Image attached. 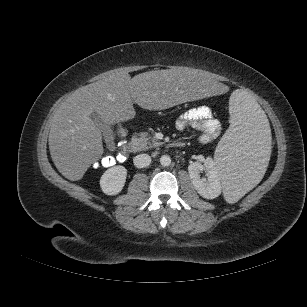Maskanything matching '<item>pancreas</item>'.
I'll list each match as a JSON object with an SVG mask.
<instances>
[{
  "label": "pancreas",
  "mask_w": 307,
  "mask_h": 307,
  "mask_svg": "<svg viewBox=\"0 0 307 307\" xmlns=\"http://www.w3.org/2000/svg\"><path fill=\"white\" fill-rule=\"evenodd\" d=\"M131 144L135 151H144L149 148H155L161 145L155 136H152L147 132H142L138 135H134L132 137Z\"/></svg>",
  "instance_id": "1"
}]
</instances>
